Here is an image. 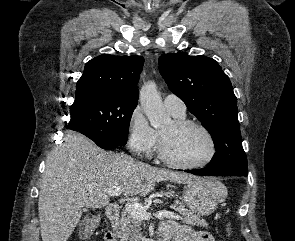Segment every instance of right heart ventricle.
I'll return each instance as SVG.
<instances>
[{
  "label": "right heart ventricle",
  "mask_w": 295,
  "mask_h": 241,
  "mask_svg": "<svg viewBox=\"0 0 295 241\" xmlns=\"http://www.w3.org/2000/svg\"><path fill=\"white\" fill-rule=\"evenodd\" d=\"M175 119H185V115H174L171 114Z\"/></svg>",
  "instance_id": "obj_1"
}]
</instances>
